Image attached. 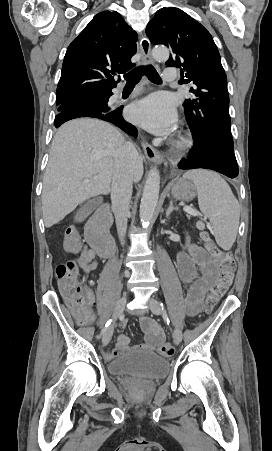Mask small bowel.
I'll return each mask as SVG.
<instances>
[{"mask_svg":"<svg viewBox=\"0 0 272 451\" xmlns=\"http://www.w3.org/2000/svg\"><path fill=\"white\" fill-rule=\"evenodd\" d=\"M97 252L90 246L83 244L79 249L78 261H89L91 268L83 270L85 274L95 271L98 267ZM215 257L207 249L191 244L188 241L177 253L175 267L184 285V308L190 315H195L200 309V300L207 291V269L214 263ZM141 326L146 333L145 343L135 347L140 350L155 349L164 341V334L155 322L147 318L141 319ZM131 349L129 337L120 334L114 349L105 352V359L112 360L120 353Z\"/></svg>","mask_w":272,"mask_h":451,"instance_id":"1","label":"small bowel"}]
</instances>
